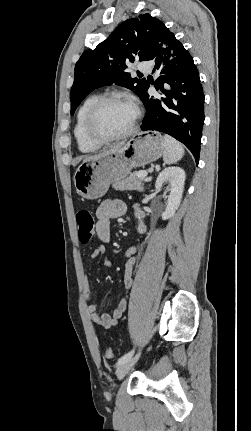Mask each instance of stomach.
Instances as JSON below:
<instances>
[{
	"label": "stomach",
	"instance_id": "obj_1",
	"mask_svg": "<svg viewBox=\"0 0 251 431\" xmlns=\"http://www.w3.org/2000/svg\"><path fill=\"white\" fill-rule=\"evenodd\" d=\"M164 152L159 133H138L116 151L86 160L74 174L77 193L88 200L102 197L111 183L126 178L131 170L159 159Z\"/></svg>",
	"mask_w": 251,
	"mask_h": 431
}]
</instances>
